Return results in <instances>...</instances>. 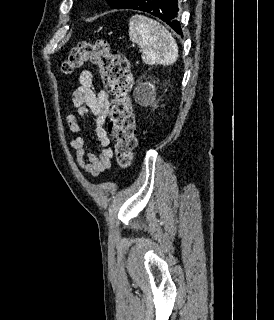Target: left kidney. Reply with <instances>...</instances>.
<instances>
[{"label":"left kidney","instance_id":"1","mask_svg":"<svg viewBox=\"0 0 274 320\" xmlns=\"http://www.w3.org/2000/svg\"><path fill=\"white\" fill-rule=\"evenodd\" d=\"M134 98L140 106H152L156 100L155 86L153 84H141L134 90Z\"/></svg>","mask_w":274,"mask_h":320}]
</instances>
